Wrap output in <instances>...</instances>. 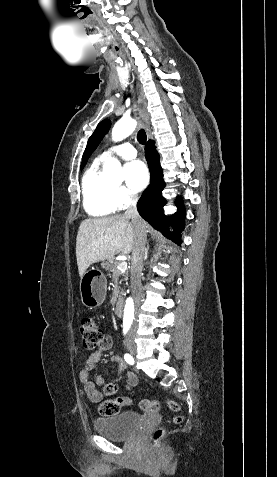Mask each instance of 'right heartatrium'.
Masks as SVG:
<instances>
[{
    "instance_id": "right-heart-atrium-1",
    "label": "right heart atrium",
    "mask_w": 277,
    "mask_h": 477,
    "mask_svg": "<svg viewBox=\"0 0 277 477\" xmlns=\"http://www.w3.org/2000/svg\"><path fill=\"white\" fill-rule=\"evenodd\" d=\"M135 196L130 193L126 188L122 186L114 187V200L117 206V209H122L130 205L134 200Z\"/></svg>"
}]
</instances>
